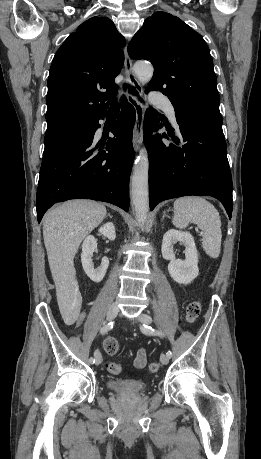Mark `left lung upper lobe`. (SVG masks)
Returning <instances> with one entry per match:
<instances>
[{
  "label": "left lung upper lobe",
  "mask_w": 261,
  "mask_h": 459,
  "mask_svg": "<svg viewBox=\"0 0 261 459\" xmlns=\"http://www.w3.org/2000/svg\"><path fill=\"white\" fill-rule=\"evenodd\" d=\"M135 60H150L154 74L147 91L167 95L175 114L222 119L213 61L202 36L176 16L155 12L128 45Z\"/></svg>",
  "instance_id": "1"
}]
</instances>
